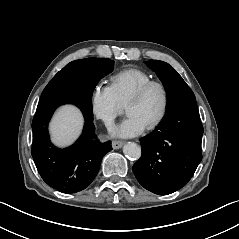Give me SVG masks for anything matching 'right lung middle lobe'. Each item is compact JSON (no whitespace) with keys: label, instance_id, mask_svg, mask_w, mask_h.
<instances>
[{"label":"right lung middle lobe","instance_id":"dd1d6c3e","mask_svg":"<svg viewBox=\"0 0 239 239\" xmlns=\"http://www.w3.org/2000/svg\"><path fill=\"white\" fill-rule=\"evenodd\" d=\"M113 66L114 61L104 58L72 61L48 83L40 101L72 91H83L92 96L99 80L111 73Z\"/></svg>","mask_w":239,"mask_h":239}]
</instances>
